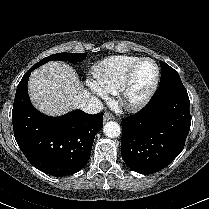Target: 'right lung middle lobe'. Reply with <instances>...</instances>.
<instances>
[{
    "instance_id": "obj_1",
    "label": "right lung middle lobe",
    "mask_w": 209,
    "mask_h": 209,
    "mask_svg": "<svg viewBox=\"0 0 209 209\" xmlns=\"http://www.w3.org/2000/svg\"><path fill=\"white\" fill-rule=\"evenodd\" d=\"M85 56H86L85 53H57V54H53L49 57L42 59L41 61L36 63L31 69L34 70L51 60H64V61H70V62H78V61L83 60Z\"/></svg>"
}]
</instances>
